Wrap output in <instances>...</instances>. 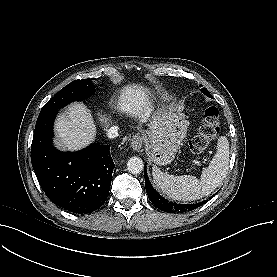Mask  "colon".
Returning a JSON list of instances; mask_svg holds the SVG:
<instances>
[{"mask_svg":"<svg viewBox=\"0 0 277 277\" xmlns=\"http://www.w3.org/2000/svg\"><path fill=\"white\" fill-rule=\"evenodd\" d=\"M220 130V111L216 106H209L205 110L204 120L199 127L198 134L189 143L191 151L202 154Z\"/></svg>","mask_w":277,"mask_h":277,"instance_id":"1","label":"colon"}]
</instances>
